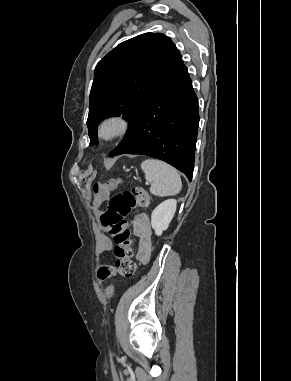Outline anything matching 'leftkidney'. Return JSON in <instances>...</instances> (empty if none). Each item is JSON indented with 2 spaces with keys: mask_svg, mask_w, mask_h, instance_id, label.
I'll use <instances>...</instances> for the list:
<instances>
[{
  "mask_svg": "<svg viewBox=\"0 0 291 381\" xmlns=\"http://www.w3.org/2000/svg\"><path fill=\"white\" fill-rule=\"evenodd\" d=\"M177 201L175 199H168L160 203L151 214V226L157 236H161L170 222L172 221L176 212Z\"/></svg>",
  "mask_w": 291,
  "mask_h": 381,
  "instance_id": "5707ae66",
  "label": "left kidney"
}]
</instances>
